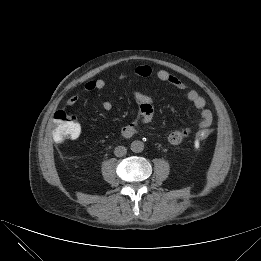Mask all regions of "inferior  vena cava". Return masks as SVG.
<instances>
[{
  "instance_id": "inferior-vena-cava-1",
  "label": "inferior vena cava",
  "mask_w": 261,
  "mask_h": 261,
  "mask_svg": "<svg viewBox=\"0 0 261 261\" xmlns=\"http://www.w3.org/2000/svg\"><path fill=\"white\" fill-rule=\"evenodd\" d=\"M127 149L124 146H117L114 150V154L117 157H122L126 155Z\"/></svg>"
}]
</instances>
